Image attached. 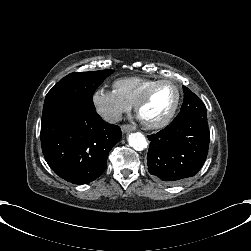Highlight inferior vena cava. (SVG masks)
Wrapping results in <instances>:
<instances>
[{"label": "inferior vena cava", "mask_w": 251, "mask_h": 251, "mask_svg": "<svg viewBox=\"0 0 251 251\" xmlns=\"http://www.w3.org/2000/svg\"><path fill=\"white\" fill-rule=\"evenodd\" d=\"M102 118L108 123H116L122 120V115L119 112H106Z\"/></svg>", "instance_id": "obj_1"}]
</instances>
